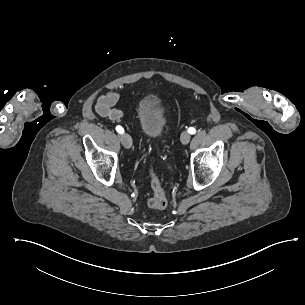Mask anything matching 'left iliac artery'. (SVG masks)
<instances>
[{"label": "left iliac artery", "mask_w": 305, "mask_h": 305, "mask_svg": "<svg viewBox=\"0 0 305 305\" xmlns=\"http://www.w3.org/2000/svg\"><path fill=\"white\" fill-rule=\"evenodd\" d=\"M188 132H189L190 134H195V133H196V129H195L194 127H190V128L188 129Z\"/></svg>", "instance_id": "obj_1"}]
</instances>
